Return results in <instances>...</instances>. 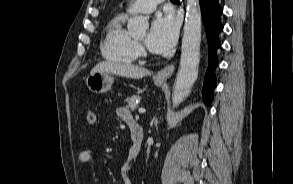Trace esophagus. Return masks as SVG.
<instances>
[{"label":"esophagus","mask_w":293,"mask_h":184,"mask_svg":"<svg viewBox=\"0 0 293 184\" xmlns=\"http://www.w3.org/2000/svg\"><path fill=\"white\" fill-rule=\"evenodd\" d=\"M174 69H175L174 63H171V64L165 66L163 69H161L156 74V79H159V80H166V79H168L173 74Z\"/></svg>","instance_id":"1"}]
</instances>
